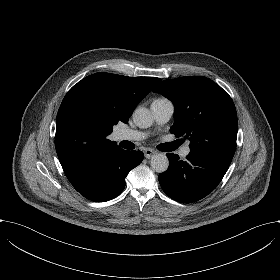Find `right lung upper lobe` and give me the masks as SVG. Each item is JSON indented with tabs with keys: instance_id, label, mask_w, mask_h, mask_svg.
<instances>
[{
	"instance_id": "1",
	"label": "right lung upper lobe",
	"mask_w": 280,
	"mask_h": 280,
	"mask_svg": "<svg viewBox=\"0 0 280 280\" xmlns=\"http://www.w3.org/2000/svg\"><path fill=\"white\" fill-rule=\"evenodd\" d=\"M96 73L65 95L56 118L55 147L67 178L91 158L120 148L107 139L118 122L127 123L138 103L160 81Z\"/></svg>"
}]
</instances>
